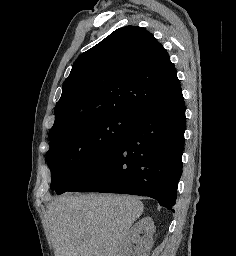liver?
I'll list each match as a JSON object with an SVG mask.
<instances>
[{"mask_svg": "<svg viewBox=\"0 0 236 256\" xmlns=\"http://www.w3.org/2000/svg\"><path fill=\"white\" fill-rule=\"evenodd\" d=\"M143 210L134 196H59L47 208L55 256H120L126 234Z\"/></svg>", "mask_w": 236, "mask_h": 256, "instance_id": "1", "label": "liver"}]
</instances>
